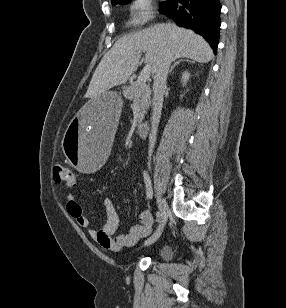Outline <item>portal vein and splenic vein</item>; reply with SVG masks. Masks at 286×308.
<instances>
[{
    "mask_svg": "<svg viewBox=\"0 0 286 308\" xmlns=\"http://www.w3.org/2000/svg\"><path fill=\"white\" fill-rule=\"evenodd\" d=\"M150 72H151V65L149 64L145 65V67L142 69L140 73L138 80L145 83L150 77Z\"/></svg>",
    "mask_w": 286,
    "mask_h": 308,
    "instance_id": "1",
    "label": "portal vein and splenic vein"
}]
</instances>
